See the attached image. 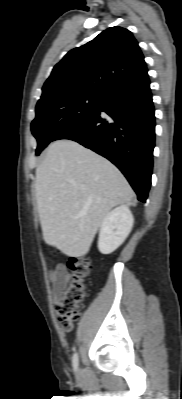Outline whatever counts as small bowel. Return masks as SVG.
<instances>
[{"instance_id": "obj_1", "label": "small bowel", "mask_w": 182, "mask_h": 399, "mask_svg": "<svg viewBox=\"0 0 182 399\" xmlns=\"http://www.w3.org/2000/svg\"><path fill=\"white\" fill-rule=\"evenodd\" d=\"M70 273L63 264L57 265L50 273L52 292L58 302L70 281Z\"/></svg>"}]
</instances>
